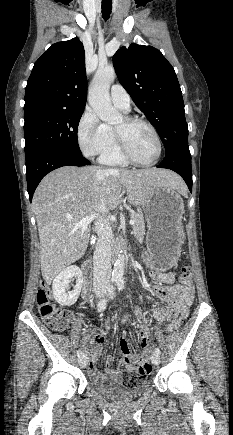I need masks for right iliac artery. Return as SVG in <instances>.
<instances>
[{
	"label": "right iliac artery",
	"mask_w": 233,
	"mask_h": 435,
	"mask_svg": "<svg viewBox=\"0 0 233 435\" xmlns=\"http://www.w3.org/2000/svg\"><path fill=\"white\" fill-rule=\"evenodd\" d=\"M116 278H112L111 279V282H110V284H109V286L111 285V284H113L114 282H116ZM106 305H107V300H106V298L105 297H103V298H101L100 300H99V302H98V304H97V309H98V311L99 312H101V311H103L105 308H106ZM82 355V351H77V356L78 357H80Z\"/></svg>",
	"instance_id": "right-iliac-artery-1"
}]
</instances>
